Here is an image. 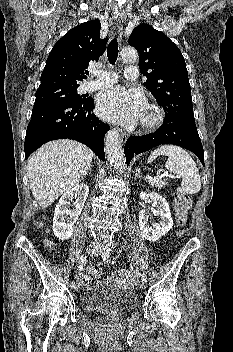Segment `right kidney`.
<instances>
[{
  "label": "right kidney",
  "instance_id": "ca27d5eb",
  "mask_svg": "<svg viewBox=\"0 0 233 352\" xmlns=\"http://www.w3.org/2000/svg\"><path fill=\"white\" fill-rule=\"evenodd\" d=\"M88 193L89 187L86 184H80L64 193L60 198L53 217V232L60 240L71 237L73 226L82 212ZM73 199H75L74 208L70 210L67 206Z\"/></svg>",
  "mask_w": 233,
  "mask_h": 352
}]
</instances>
